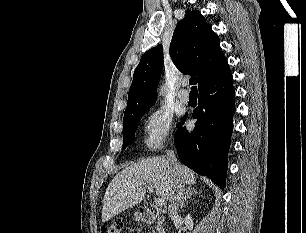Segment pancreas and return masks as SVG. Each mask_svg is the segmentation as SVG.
<instances>
[{"instance_id": "cf45deb5", "label": "pancreas", "mask_w": 306, "mask_h": 233, "mask_svg": "<svg viewBox=\"0 0 306 233\" xmlns=\"http://www.w3.org/2000/svg\"><path fill=\"white\" fill-rule=\"evenodd\" d=\"M160 224V221L158 222V225ZM158 227V226H157ZM153 233H155V231L153 230Z\"/></svg>"}]
</instances>
